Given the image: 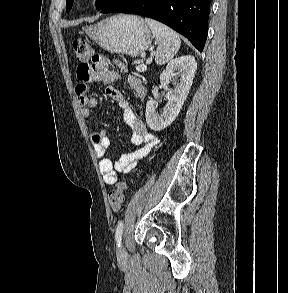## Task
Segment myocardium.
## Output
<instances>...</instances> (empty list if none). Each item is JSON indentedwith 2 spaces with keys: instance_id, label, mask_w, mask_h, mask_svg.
<instances>
[{
  "instance_id": "myocardium-1",
  "label": "myocardium",
  "mask_w": 288,
  "mask_h": 293,
  "mask_svg": "<svg viewBox=\"0 0 288 293\" xmlns=\"http://www.w3.org/2000/svg\"><path fill=\"white\" fill-rule=\"evenodd\" d=\"M91 0H78V5L80 7H85L86 5H88L90 3Z\"/></svg>"
}]
</instances>
